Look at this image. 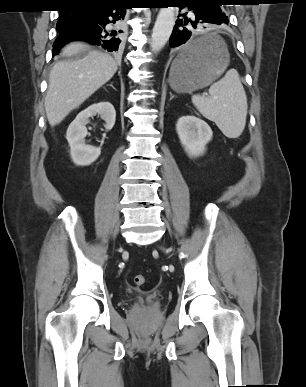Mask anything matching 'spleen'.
<instances>
[{
	"label": "spleen",
	"instance_id": "1",
	"mask_svg": "<svg viewBox=\"0 0 306 387\" xmlns=\"http://www.w3.org/2000/svg\"><path fill=\"white\" fill-rule=\"evenodd\" d=\"M208 91L209 96H192L195 107L226 137H239L245 128L248 104L238 72L230 69Z\"/></svg>",
	"mask_w": 306,
	"mask_h": 387
}]
</instances>
